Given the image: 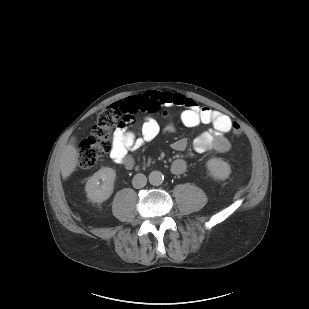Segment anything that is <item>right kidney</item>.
Wrapping results in <instances>:
<instances>
[{"instance_id":"obj_1","label":"right kidney","mask_w":309,"mask_h":309,"mask_svg":"<svg viewBox=\"0 0 309 309\" xmlns=\"http://www.w3.org/2000/svg\"><path fill=\"white\" fill-rule=\"evenodd\" d=\"M115 178L116 173L112 168H101L86 183L87 197L93 202H104L109 199L114 190Z\"/></svg>"}]
</instances>
